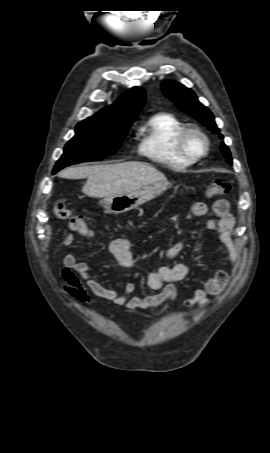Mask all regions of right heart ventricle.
I'll return each instance as SVG.
<instances>
[{
	"instance_id": "right-heart-ventricle-1",
	"label": "right heart ventricle",
	"mask_w": 270,
	"mask_h": 453,
	"mask_svg": "<svg viewBox=\"0 0 270 453\" xmlns=\"http://www.w3.org/2000/svg\"><path fill=\"white\" fill-rule=\"evenodd\" d=\"M183 128L185 125L172 113L152 115L140 129V153L164 166L176 169L190 167L194 161L184 157L176 146V138Z\"/></svg>"
}]
</instances>
